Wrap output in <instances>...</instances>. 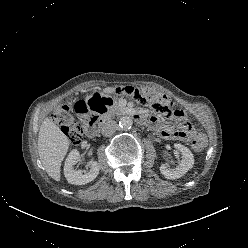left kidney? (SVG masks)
Masks as SVG:
<instances>
[{
	"label": "left kidney",
	"instance_id": "5707ae66",
	"mask_svg": "<svg viewBox=\"0 0 248 248\" xmlns=\"http://www.w3.org/2000/svg\"><path fill=\"white\" fill-rule=\"evenodd\" d=\"M174 146L181 152L182 160L174 169H170L164 164L160 166L161 174L167 179H178L182 177L194 165V156L187 147L182 144H175Z\"/></svg>",
	"mask_w": 248,
	"mask_h": 248
}]
</instances>
